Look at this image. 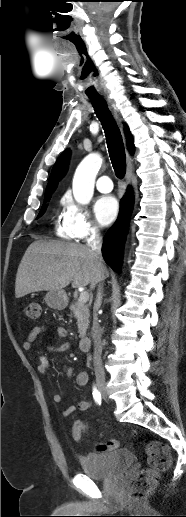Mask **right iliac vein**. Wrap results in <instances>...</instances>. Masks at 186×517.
<instances>
[{
	"label": "right iliac vein",
	"mask_w": 186,
	"mask_h": 517,
	"mask_svg": "<svg viewBox=\"0 0 186 517\" xmlns=\"http://www.w3.org/2000/svg\"><path fill=\"white\" fill-rule=\"evenodd\" d=\"M99 390L104 397H107V391L102 384H99Z\"/></svg>",
	"instance_id": "right-iliac-vein-1"
}]
</instances>
